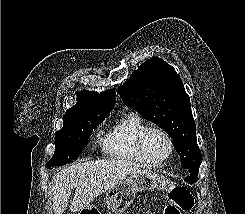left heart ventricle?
Returning <instances> with one entry per match:
<instances>
[{"instance_id": "left-heart-ventricle-1", "label": "left heart ventricle", "mask_w": 245, "mask_h": 214, "mask_svg": "<svg viewBox=\"0 0 245 214\" xmlns=\"http://www.w3.org/2000/svg\"><path fill=\"white\" fill-rule=\"evenodd\" d=\"M145 147L148 157L152 160L164 158L169 151L166 139L157 132L148 135Z\"/></svg>"}]
</instances>
